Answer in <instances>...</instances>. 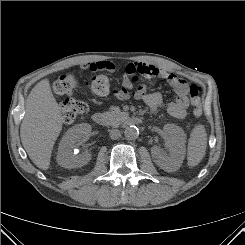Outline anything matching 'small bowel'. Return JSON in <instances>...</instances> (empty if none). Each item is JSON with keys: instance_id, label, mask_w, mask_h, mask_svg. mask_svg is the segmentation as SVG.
I'll list each match as a JSON object with an SVG mask.
<instances>
[{"instance_id": "c3829d8e", "label": "small bowel", "mask_w": 245, "mask_h": 245, "mask_svg": "<svg viewBox=\"0 0 245 245\" xmlns=\"http://www.w3.org/2000/svg\"><path fill=\"white\" fill-rule=\"evenodd\" d=\"M84 70L116 71V65L108 60L89 62L82 65ZM139 78H159L167 81L175 93L174 101L167 106L168 113L177 119L186 116L189 107V87L185 80L178 78L174 73L168 72L158 66L142 62H128L125 66V75L121 87L113 91V96L118 100H127L131 97L142 100L151 110H156L163 103L160 92H148L144 85L135 88L134 83Z\"/></svg>"}]
</instances>
